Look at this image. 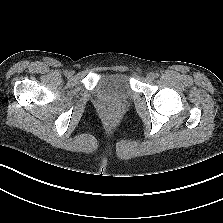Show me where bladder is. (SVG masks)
Segmentation results:
<instances>
[{"mask_svg":"<svg viewBox=\"0 0 223 223\" xmlns=\"http://www.w3.org/2000/svg\"><path fill=\"white\" fill-rule=\"evenodd\" d=\"M95 93L101 98L114 100H128L133 95V90L127 75L111 73L103 75L97 82Z\"/></svg>","mask_w":223,"mask_h":223,"instance_id":"obj_1","label":"bladder"}]
</instances>
